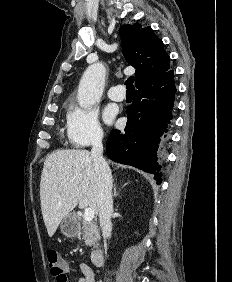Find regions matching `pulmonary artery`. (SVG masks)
Returning <instances> with one entry per match:
<instances>
[{
    "mask_svg": "<svg viewBox=\"0 0 232 282\" xmlns=\"http://www.w3.org/2000/svg\"><path fill=\"white\" fill-rule=\"evenodd\" d=\"M126 96L122 85H114L108 90V97L113 101H122Z\"/></svg>",
    "mask_w": 232,
    "mask_h": 282,
    "instance_id": "e3ab8cb5",
    "label": "pulmonary artery"
}]
</instances>
